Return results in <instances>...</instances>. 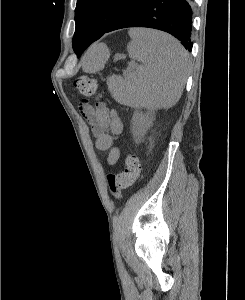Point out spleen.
I'll return each instance as SVG.
<instances>
[{"label":"spleen","instance_id":"spleen-1","mask_svg":"<svg viewBox=\"0 0 245 300\" xmlns=\"http://www.w3.org/2000/svg\"><path fill=\"white\" fill-rule=\"evenodd\" d=\"M127 51L142 64L125 77L112 75L107 86L112 97L132 108H170L181 97L189 72L188 53L172 36L152 29H130ZM109 56L101 45L87 56L83 70L103 69Z\"/></svg>","mask_w":245,"mask_h":300}]
</instances>
